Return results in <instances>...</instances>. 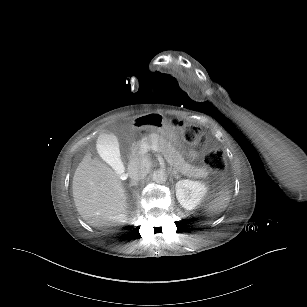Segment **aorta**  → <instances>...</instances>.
<instances>
[{
    "instance_id": "762f6f07",
    "label": "aorta",
    "mask_w": 307,
    "mask_h": 307,
    "mask_svg": "<svg viewBox=\"0 0 307 307\" xmlns=\"http://www.w3.org/2000/svg\"><path fill=\"white\" fill-rule=\"evenodd\" d=\"M153 181L156 183H165L167 181V174L160 169L153 174Z\"/></svg>"
}]
</instances>
